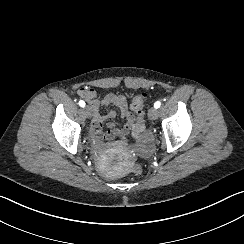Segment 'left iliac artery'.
<instances>
[{
    "label": "left iliac artery",
    "instance_id": "obj_1",
    "mask_svg": "<svg viewBox=\"0 0 244 244\" xmlns=\"http://www.w3.org/2000/svg\"><path fill=\"white\" fill-rule=\"evenodd\" d=\"M161 103L159 101L154 103V108L158 109L160 107Z\"/></svg>",
    "mask_w": 244,
    "mask_h": 244
}]
</instances>
